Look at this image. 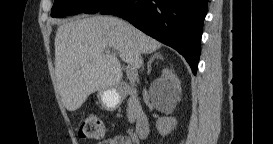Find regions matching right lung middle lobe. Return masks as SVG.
<instances>
[{
  "mask_svg": "<svg viewBox=\"0 0 273 144\" xmlns=\"http://www.w3.org/2000/svg\"><path fill=\"white\" fill-rule=\"evenodd\" d=\"M111 0H55L52 7V17L88 13L94 14Z\"/></svg>",
  "mask_w": 273,
  "mask_h": 144,
  "instance_id": "obj_1",
  "label": "right lung middle lobe"
}]
</instances>
